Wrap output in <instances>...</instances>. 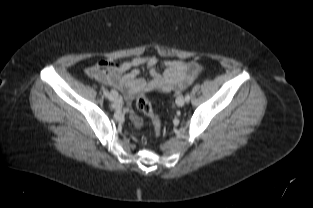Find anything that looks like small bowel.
Returning a JSON list of instances; mask_svg holds the SVG:
<instances>
[{"instance_id":"c3829d8e","label":"small bowel","mask_w":313,"mask_h":208,"mask_svg":"<svg viewBox=\"0 0 313 208\" xmlns=\"http://www.w3.org/2000/svg\"><path fill=\"white\" fill-rule=\"evenodd\" d=\"M147 68L152 79L146 82L138 78L141 69ZM163 72L158 69L155 56H139L123 63H115L109 59L97 61L86 70V75L102 85L122 91L128 99L135 94L152 88L163 91L182 90L190 85L201 73L197 62L167 60L162 63ZM134 122L141 125V119L133 116Z\"/></svg>"}]
</instances>
